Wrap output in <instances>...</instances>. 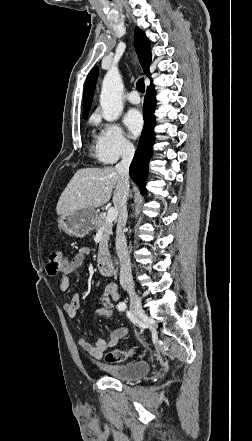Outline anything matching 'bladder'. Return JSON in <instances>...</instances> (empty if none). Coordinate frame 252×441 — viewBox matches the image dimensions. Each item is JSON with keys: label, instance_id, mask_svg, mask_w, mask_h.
<instances>
[{"label": "bladder", "instance_id": "1", "mask_svg": "<svg viewBox=\"0 0 252 441\" xmlns=\"http://www.w3.org/2000/svg\"><path fill=\"white\" fill-rule=\"evenodd\" d=\"M99 368L109 377L123 381H134L146 376L150 371V363L140 360L130 363H104Z\"/></svg>", "mask_w": 252, "mask_h": 441}]
</instances>
